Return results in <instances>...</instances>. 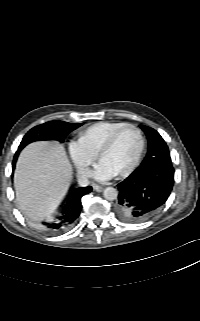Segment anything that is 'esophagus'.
Masks as SVG:
<instances>
[{"label":"esophagus","mask_w":200,"mask_h":321,"mask_svg":"<svg viewBox=\"0 0 200 321\" xmlns=\"http://www.w3.org/2000/svg\"><path fill=\"white\" fill-rule=\"evenodd\" d=\"M93 189L97 192H102L104 190V187L99 185H93Z\"/></svg>","instance_id":"34e87169"}]
</instances>
